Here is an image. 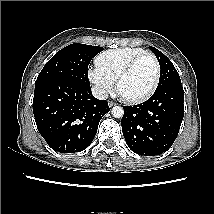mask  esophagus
Instances as JSON below:
<instances>
[{
    "mask_svg": "<svg viewBox=\"0 0 214 214\" xmlns=\"http://www.w3.org/2000/svg\"><path fill=\"white\" fill-rule=\"evenodd\" d=\"M114 105H115L114 102H112V101L109 102V107H112V106H114Z\"/></svg>",
    "mask_w": 214,
    "mask_h": 214,
    "instance_id": "1",
    "label": "esophagus"
}]
</instances>
